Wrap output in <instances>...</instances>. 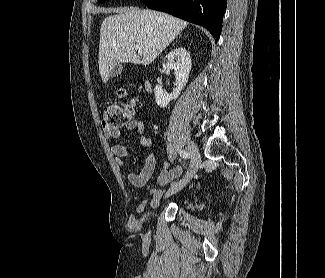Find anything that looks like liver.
<instances>
[{"instance_id": "liver-1", "label": "liver", "mask_w": 325, "mask_h": 278, "mask_svg": "<svg viewBox=\"0 0 325 278\" xmlns=\"http://www.w3.org/2000/svg\"><path fill=\"white\" fill-rule=\"evenodd\" d=\"M108 12L116 14L106 17L100 28L99 72L105 84L116 62L149 65L188 24L152 10L117 8ZM137 43L142 45L138 54Z\"/></svg>"}]
</instances>
